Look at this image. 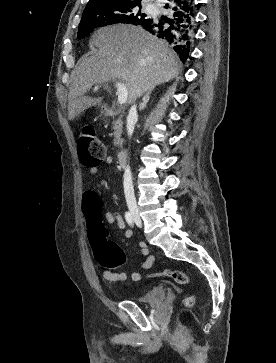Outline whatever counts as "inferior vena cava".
<instances>
[{
  "label": "inferior vena cava",
  "mask_w": 276,
  "mask_h": 363,
  "mask_svg": "<svg viewBox=\"0 0 276 363\" xmlns=\"http://www.w3.org/2000/svg\"><path fill=\"white\" fill-rule=\"evenodd\" d=\"M138 114L136 105H133L129 110V114L127 116V132L128 135L131 136L134 131L135 123L137 122ZM123 186H124V194L125 199L128 206L136 207V199L134 194V187L132 181V174L130 171V167L127 166L125 168L124 176H123Z\"/></svg>",
  "instance_id": "602c4592"
}]
</instances>
